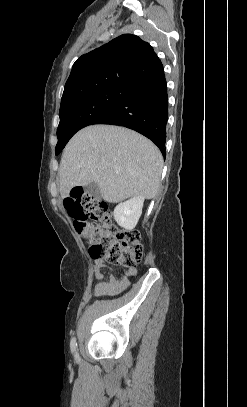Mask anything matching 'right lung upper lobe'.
<instances>
[{
    "instance_id": "1",
    "label": "right lung upper lobe",
    "mask_w": 247,
    "mask_h": 407,
    "mask_svg": "<svg viewBox=\"0 0 247 407\" xmlns=\"http://www.w3.org/2000/svg\"><path fill=\"white\" fill-rule=\"evenodd\" d=\"M162 71L163 65L149 43L132 34L121 35L74 63L61 106L110 87L135 89Z\"/></svg>"
}]
</instances>
